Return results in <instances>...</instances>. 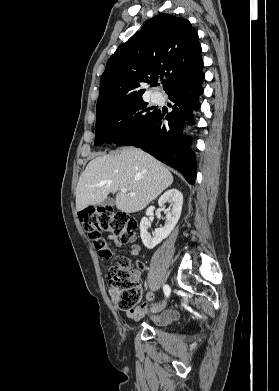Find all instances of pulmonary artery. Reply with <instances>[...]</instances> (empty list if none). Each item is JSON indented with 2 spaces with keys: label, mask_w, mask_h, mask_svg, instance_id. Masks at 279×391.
<instances>
[{
  "label": "pulmonary artery",
  "mask_w": 279,
  "mask_h": 391,
  "mask_svg": "<svg viewBox=\"0 0 279 391\" xmlns=\"http://www.w3.org/2000/svg\"><path fill=\"white\" fill-rule=\"evenodd\" d=\"M152 100L155 103H161L163 101V97L161 95L155 93V94L152 95Z\"/></svg>",
  "instance_id": "obj_1"
}]
</instances>
